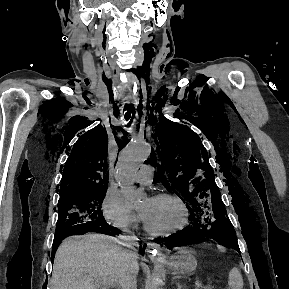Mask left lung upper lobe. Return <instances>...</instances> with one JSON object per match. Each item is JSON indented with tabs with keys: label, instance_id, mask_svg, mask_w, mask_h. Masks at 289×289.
I'll return each mask as SVG.
<instances>
[{
	"label": "left lung upper lobe",
	"instance_id": "1",
	"mask_svg": "<svg viewBox=\"0 0 289 289\" xmlns=\"http://www.w3.org/2000/svg\"><path fill=\"white\" fill-rule=\"evenodd\" d=\"M155 132L156 148L147 162L157 166L156 178L189 203L192 221L213 225L217 242L239 250L233 226L221 212L224 204L200 138L189 127L165 118Z\"/></svg>",
	"mask_w": 289,
	"mask_h": 289
}]
</instances>
